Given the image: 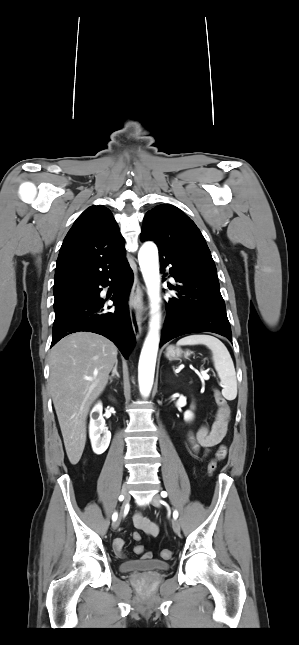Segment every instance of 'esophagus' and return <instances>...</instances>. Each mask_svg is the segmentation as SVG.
I'll use <instances>...</instances> for the list:
<instances>
[{
  "label": "esophagus",
  "mask_w": 299,
  "mask_h": 645,
  "mask_svg": "<svg viewBox=\"0 0 299 645\" xmlns=\"http://www.w3.org/2000/svg\"><path fill=\"white\" fill-rule=\"evenodd\" d=\"M140 283L135 279L130 294V319L135 337L139 339L142 334V295L143 290Z\"/></svg>",
  "instance_id": "1"
}]
</instances>
